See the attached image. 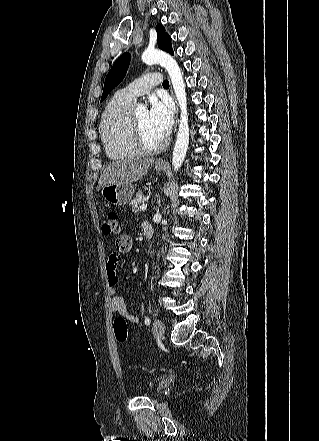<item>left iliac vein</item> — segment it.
<instances>
[{
  "mask_svg": "<svg viewBox=\"0 0 319 441\" xmlns=\"http://www.w3.org/2000/svg\"><path fill=\"white\" fill-rule=\"evenodd\" d=\"M164 333V324L160 319H155L153 322V335L157 339H161Z\"/></svg>",
  "mask_w": 319,
  "mask_h": 441,
  "instance_id": "left-iliac-vein-1",
  "label": "left iliac vein"
}]
</instances>
